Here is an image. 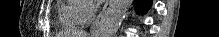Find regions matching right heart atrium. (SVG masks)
<instances>
[{
	"instance_id": "right-heart-atrium-1",
	"label": "right heart atrium",
	"mask_w": 219,
	"mask_h": 37,
	"mask_svg": "<svg viewBox=\"0 0 219 37\" xmlns=\"http://www.w3.org/2000/svg\"><path fill=\"white\" fill-rule=\"evenodd\" d=\"M81 10L79 12V18L82 22H87L94 17L95 6L91 0H78Z\"/></svg>"
}]
</instances>
